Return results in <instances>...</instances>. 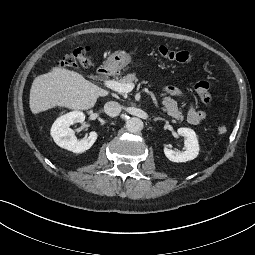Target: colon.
<instances>
[{"instance_id":"colon-1","label":"colon","mask_w":255,"mask_h":255,"mask_svg":"<svg viewBox=\"0 0 255 255\" xmlns=\"http://www.w3.org/2000/svg\"><path fill=\"white\" fill-rule=\"evenodd\" d=\"M160 56L169 61L180 63H190L197 58V54L188 50H173L165 45L158 46ZM91 63V49L89 47H80L72 54L65 57L60 62V66L66 68L87 67ZM195 90L201 101L205 105H210L213 102V95L209 90V83L205 79H200L195 84ZM228 131L226 125H220L218 132L225 134Z\"/></svg>"}]
</instances>
